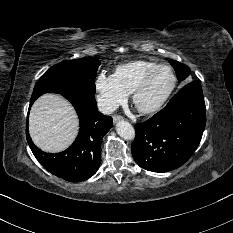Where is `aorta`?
<instances>
[{
  "mask_svg": "<svg viewBox=\"0 0 233 233\" xmlns=\"http://www.w3.org/2000/svg\"><path fill=\"white\" fill-rule=\"evenodd\" d=\"M116 131L125 140H133L135 137L134 127L127 121L121 120L117 123Z\"/></svg>",
  "mask_w": 233,
  "mask_h": 233,
  "instance_id": "1",
  "label": "aorta"
}]
</instances>
